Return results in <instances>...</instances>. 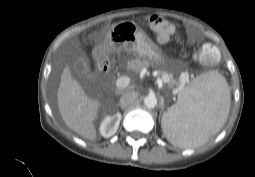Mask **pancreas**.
<instances>
[{"mask_svg": "<svg viewBox=\"0 0 255 177\" xmlns=\"http://www.w3.org/2000/svg\"><path fill=\"white\" fill-rule=\"evenodd\" d=\"M150 62L148 60H140V59H134L128 62V69L139 72L141 71L145 66H149ZM159 75L162 77V81L164 83L168 84V87L171 89H174L177 85L180 84V80L177 81L173 78L172 74H168L165 71L159 72Z\"/></svg>", "mask_w": 255, "mask_h": 177, "instance_id": "1", "label": "pancreas"}]
</instances>
